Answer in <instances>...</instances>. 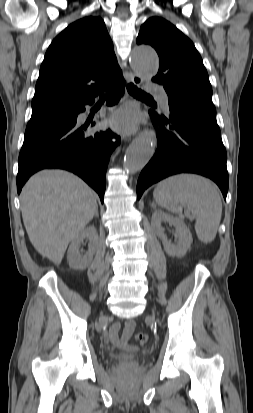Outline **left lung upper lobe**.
Instances as JSON below:
<instances>
[{"label":"left lung upper lobe","instance_id":"left-lung-upper-lobe-1","mask_svg":"<svg viewBox=\"0 0 253 413\" xmlns=\"http://www.w3.org/2000/svg\"><path fill=\"white\" fill-rule=\"evenodd\" d=\"M137 43L149 44L157 51L160 67L152 81L163 85L168 101L216 112L202 58L180 30L163 18L152 17L141 26Z\"/></svg>","mask_w":253,"mask_h":413}]
</instances>
